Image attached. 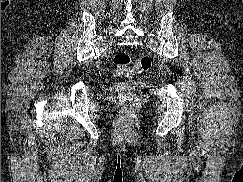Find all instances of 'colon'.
Here are the masks:
<instances>
[{
    "label": "colon",
    "instance_id": "colon-1",
    "mask_svg": "<svg viewBox=\"0 0 243 182\" xmlns=\"http://www.w3.org/2000/svg\"><path fill=\"white\" fill-rule=\"evenodd\" d=\"M152 67V61L148 56H142L135 60L125 52L116 54L113 59V72L118 77H131L135 73L148 72ZM122 112L126 117L133 115L139 102V97L132 91L120 92Z\"/></svg>",
    "mask_w": 243,
    "mask_h": 182
}]
</instances>
